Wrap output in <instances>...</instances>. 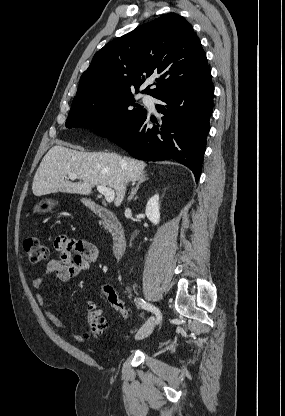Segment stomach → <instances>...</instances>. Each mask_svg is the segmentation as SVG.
<instances>
[{
	"instance_id": "obj_1",
	"label": "stomach",
	"mask_w": 285,
	"mask_h": 416,
	"mask_svg": "<svg viewBox=\"0 0 285 416\" xmlns=\"http://www.w3.org/2000/svg\"><path fill=\"white\" fill-rule=\"evenodd\" d=\"M57 204L58 202L56 200H40L38 204L33 206V214H47V212H52Z\"/></svg>"
}]
</instances>
